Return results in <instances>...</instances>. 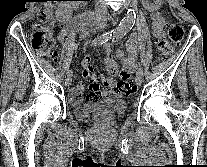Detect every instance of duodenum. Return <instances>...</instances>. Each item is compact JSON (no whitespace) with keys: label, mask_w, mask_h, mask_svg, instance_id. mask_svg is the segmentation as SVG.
<instances>
[{"label":"duodenum","mask_w":207,"mask_h":167,"mask_svg":"<svg viewBox=\"0 0 207 167\" xmlns=\"http://www.w3.org/2000/svg\"><path fill=\"white\" fill-rule=\"evenodd\" d=\"M86 24L90 25L93 22V14L91 12H86L85 14Z\"/></svg>","instance_id":"duodenum-1"}]
</instances>
